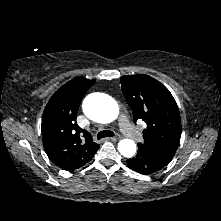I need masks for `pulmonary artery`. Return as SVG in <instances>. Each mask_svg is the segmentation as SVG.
<instances>
[{"mask_svg": "<svg viewBox=\"0 0 221 221\" xmlns=\"http://www.w3.org/2000/svg\"><path fill=\"white\" fill-rule=\"evenodd\" d=\"M119 126L124 135L132 138L133 140H141V133L130 126L126 116L122 115L120 117Z\"/></svg>", "mask_w": 221, "mask_h": 221, "instance_id": "obj_1", "label": "pulmonary artery"}]
</instances>
